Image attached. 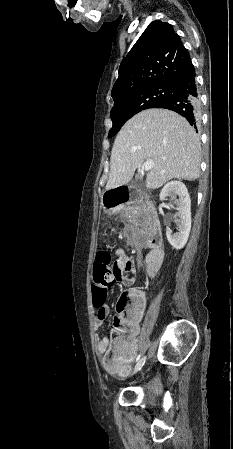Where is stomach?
<instances>
[{
    "mask_svg": "<svg viewBox=\"0 0 233 449\" xmlns=\"http://www.w3.org/2000/svg\"><path fill=\"white\" fill-rule=\"evenodd\" d=\"M104 208L106 209V211L112 212L117 209V206H104Z\"/></svg>",
    "mask_w": 233,
    "mask_h": 449,
    "instance_id": "1",
    "label": "stomach"
}]
</instances>
